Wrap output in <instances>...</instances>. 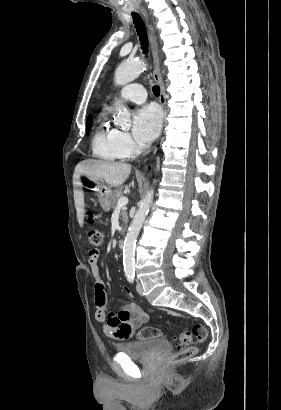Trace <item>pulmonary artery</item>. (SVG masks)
<instances>
[{
  "instance_id": "obj_1",
  "label": "pulmonary artery",
  "mask_w": 281,
  "mask_h": 410,
  "mask_svg": "<svg viewBox=\"0 0 281 410\" xmlns=\"http://www.w3.org/2000/svg\"><path fill=\"white\" fill-rule=\"evenodd\" d=\"M120 97L123 100L141 104L146 100V90L140 84H129L121 90Z\"/></svg>"
}]
</instances>
